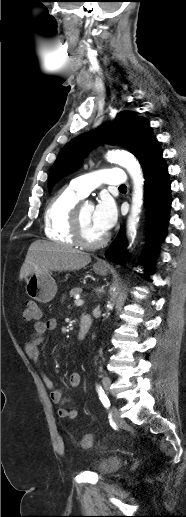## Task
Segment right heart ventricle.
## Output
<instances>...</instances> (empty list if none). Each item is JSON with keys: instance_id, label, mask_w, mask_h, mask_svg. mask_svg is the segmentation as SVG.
<instances>
[{"instance_id": "obj_1", "label": "right heart ventricle", "mask_w": 186, "mask_h": 517, "mask_svg": "<svg viewBox=\"0 0 186 517\" xmlns=\"http://www.w3.org/2000/svg\"><path fill=\"white\" fill-rule=\"evenodd\" d=\"M83 198L70 185L60 189L49 201L44 214V232L52 241L76 245L72 232V216Z\"/></svg>"}]
</instances>
